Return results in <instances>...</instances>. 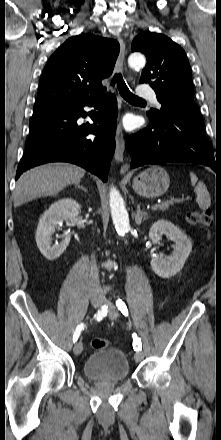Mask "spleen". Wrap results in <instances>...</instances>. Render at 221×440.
<instances>
[{"mask_svg":"<svg viewBox=\"0 0 221 440\" xmlns=\"http://www.w3.org/2000/svg\"><path fill=\"white\" fill-rule=\"evenodd\" d=\"M190 179L192 185H195L198 181L197 176L193 172H190ZM194 191L197 195L196 202L200 207V209L207 210L211 205V199L205 184L201 181L198 182L197 185L195 186Z\"/></svg>","mask_w":221,"mask_h":440,"instance_id":"spleen-1","label":"spleen"}]
</instances>
